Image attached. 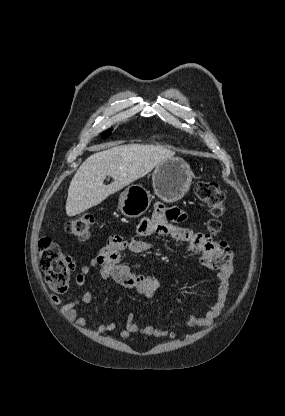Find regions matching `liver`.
<instances>
[{
	"label": "liver",
	"mask_w": 285,
	"mask_h": 416,
	"mask_svg": "<svg viewBox=\"0 0 285 416\" xmlns=\"http://www.w3.org/2000/svg\"><path fill=\"white\" fill-rule=\"evenodd\" d=\"M89 150L96 154H92L81 164L69 186L67 216H77L93 206H98L111 194L119 192L139 178H144L160 162L175 156V152L162 146L144 144L118 146L115 142H109L92 146ZM106 176H111L114 180L109 186L103 184Z\"/></svg>",
	"instance_id": "6515ba94"
}]
</instances>
